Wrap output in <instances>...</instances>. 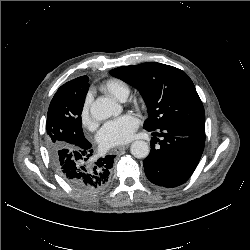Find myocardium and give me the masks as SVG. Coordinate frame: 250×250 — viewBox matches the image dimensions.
Returning a JSON list of instances; mask_svg holds the SVG:
<instances>
[{
  "label": "myocardium",
  "instance_id": "myocardium-1",
  "mask_svg": "<svg viewBox=\"0 0 250 250\" xmlns=\"http://www.w3.org/2000/svg\"><path fill=\"white\" fill-rule=\"evenodd\" d=\"M132 104L136 107V108H141L144 105V100L142 98H136L132 100Z\"/></svg>",
  "mask_w": 250,
  "mask_h": 250
}]
</instances>
